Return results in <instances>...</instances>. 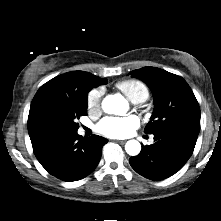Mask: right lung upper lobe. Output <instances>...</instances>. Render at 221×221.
<instances>
[{"mask_svg": "<svg viewBox=\"0 0 221 221\" xmlns=\"http://www.w3.org/2000/svg\"><path fill=\"white\" fill-rule=\"evenodd\" d=\"M102 78L84 71H72L59 75L39 88L30 106L28 132L34 153L39 152L49 141L62 134L49 124L41 113V98L44 92L53 91L63 96L88 94L93 88L103 83Z\"/></svg>", "mask_w": 221, "mask_h": 221, "instance_id": "obj_1", "label": "right lung upper lobe"}]
</instances>
